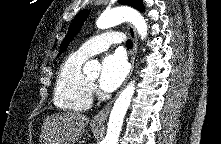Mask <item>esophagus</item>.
<instances>
[{
  "instance_id": "1",
  "label": "esophagus",
  "mask_w": 221,
  "mask_h": 144,
  "mask_svg": "<svg viewBox=\"0 0 221 144\" xmlns=\"http://www.w3.org/2000/svg\"><path fill=\"white\" fill-rule=\"evenodd\" d=\"M127 31L130 35V37L132 38L133 40V49L131 51V58H130V63H131V70H130V73L124 83V85L126 84V82L128 81V79L130 78L131 74H132V71H133V67H134V62H135V57H136V54H137V34H136V31L134 29V27L130 24L127 25ZM123 85V86H124ZM116 98V97H115ZM114 98V99H115ZM114 99H112L111 101H109L100 111L99 113L93 118L92 122L94 124H97V125H102L105 123L107 117H108V114L110 112V109L114 103Z\"/></svg>"
}]
</instances>
